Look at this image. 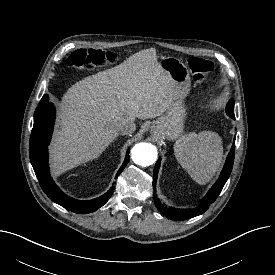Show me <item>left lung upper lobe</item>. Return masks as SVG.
I'll use <instances>...</instances> for the list:
<instances>
[{"mask_svg":"<svg viewBox=\"0 0 275 275\" xmlns=\"http://www.w3.org/2000/svg\"><path fill=\"white\" fill-rule=\"evenodd\" d=\"M226 113L227 115H229L231 118H235V115H234V100L231 99L227 106H226Z\"/></svg>","mask_w":275,"mask_h":275,"instance_id":"1","label":"left lung upper lobe"}]
</instances>
